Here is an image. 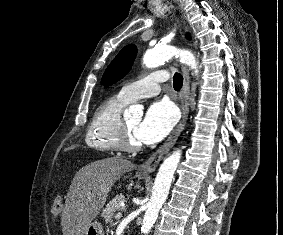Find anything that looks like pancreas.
Returning <instances> with one entry per match:
<instances>
[{"mask_svg":"<svg viewBox=\"0 0 283 235\" xmlns=\"http://www.w3.org/2000/svg\"><path fill=\"white\" fill-rule=\"evenodd\" d=\"M125 201V196L123 194L116 195L112 200L109 201L106 208L103 210L101 217L108 223L112 222V218L116 211L123 210L120 203Z\"/></svg>","mask_w":283,"mask_h":235,"instance_id":"cf45deb5","label":"pancreas"}]
</instances>
